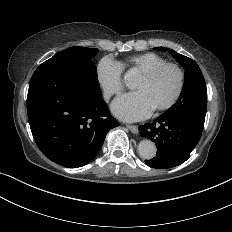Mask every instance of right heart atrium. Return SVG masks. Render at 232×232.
Listing matches in <instances>:
<instances>
[{
    "instance_id": "right-heart-atrium-1",
    "label": "right heart atrium",
    "mask_w": 232,
    "mask_h": 232,
    "mask_svg": "<svg viewBox=\"0 0 232 232\" xmlns=\"http://www.w3.org/2000/svg\"><path fill=\"white\" fill-rule=\"evenodd\" d=\"M95 72L97 82L107 98L122 91L121 66L111 57H102L96 65Z\"/></svg>"
}]
</instances>
